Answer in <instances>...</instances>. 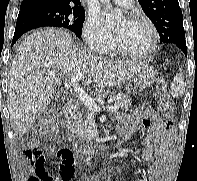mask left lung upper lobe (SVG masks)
<instances>
[{"label": "left lung upper lobe", "instance_id": "1", "mask_svg": "<svg viewBox=\"0 0 197 181\" xmlns=\"http://www.w3.org/2000/svg\"><path fill=\"white\" fill-rule=\"evenodd\" d=\"M155 25L161 43L186 44L183 16L178 0H138Z\"/></svg>", "mask_w": 197, "mask_h": 181}]
</instances>
